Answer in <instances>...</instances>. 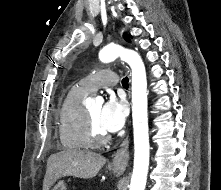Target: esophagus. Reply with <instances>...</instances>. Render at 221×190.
Wrapping results in <instances>:
<instances>
[{"label": "esophagus", "instance_id": "esophagus-1", "mask_svg": "<svg viewBox=\"0 0 221 190\" xmlns=\"http://www.w3.org/2000/svg\"><path fill=\"white\" fill-rule=\"evenodd\" d=\"M129 161V139H124L119 149L116 151L113 160L112 167L117 171H124Z\"/></svg>", "mask_w": 221, "mask_h": 190}]
</instances>
